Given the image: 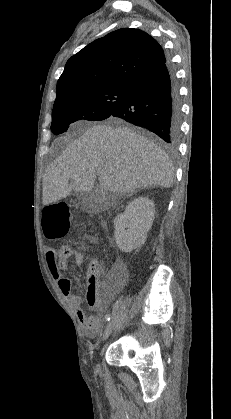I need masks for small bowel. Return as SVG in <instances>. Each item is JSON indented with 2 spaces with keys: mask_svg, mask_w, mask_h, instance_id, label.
I'll return each mask as SVG.
<instances>
[{
  "mask_svg": "<svg viewBox=\"0 0 231 419\" xmlns=\"http://www.w3.org/2000/svg\"><path fill=\"white\" fill-rule=\"evenodd\" d=\"M73 257L76 265L81 266L84 263V256L74 251L70 246L62 247L60 250L48 248L46 250V261L51 276L57 281L58 287L62 295L66 298L70 306L75 310L77 319L79 320L83 333L86 337L95 338L102 330V319L98 316H88L82 308V300L73 294L71 289V280L63 275L67 269L68 259ZM125 274L122 272L116 283L120 284L124 281ZM89 280V278H88ZM86 300L90 307H99L98 285L95 288L89 285L86 292Z\"/></svg>",
  "mask_w": 231,
  "mask_h": 419,
  "instance_id": "1",
  "label": "small bowel"
}]
</instances>
